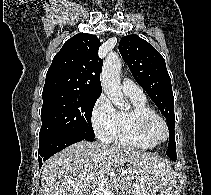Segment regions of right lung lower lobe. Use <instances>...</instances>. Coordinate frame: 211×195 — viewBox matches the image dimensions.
Masks as SVG:
<instances>
[{
	"label": "right lung lower lobe",
	"mask_w": 211,
	"mask_h": 195,
	"mask_svg": "<svg viewBox=\"0 0 211 195\" xmlns=\"http://www.w3.org/2000/svg\"><path fill=\"white\" fill-rule=\"evenodd\" d=\"M82 140L86 139L80 135H61L40 142L38 150L39 167H41L42 163L46 161L53 154L61 151L62 149L66 148L71 144L80 142Z\"/></svg>",
	"instance_id": "right-lung-lower-lobe-1"
}]
</instances>
